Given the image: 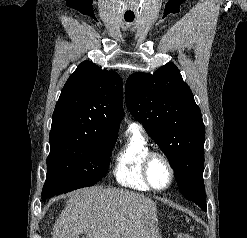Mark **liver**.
<instances>
[{
	"instance_id": "obj_1",
	"label": "liver",
	"mask_w": 247,
	"mask_h": 238,
	"mask_svg": "<svg viewBox=\"0 0 247 238\" xmlns=\"http://www.w3.org/2000/svg\"><path fill=\"white\" fill-rule=\"evenodd\" d=\"M156 203L143 194L89 187L71 193L53 238H158Z\"/></svg>"
}]
</instances>
